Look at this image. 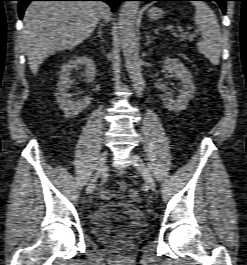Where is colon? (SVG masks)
<instances>
[{"mask_svg":"<svg viewBox=\"0 0 247 265\" xmlns=\"http://www.w3.org/2000/svg\"><path fill=\"white\" fill-rule=\"evenodd\" d=\"M118 188H119V190H120L121 192H125V191H127V189H128V185H127L126 182L121 181V182L119 183V185H118Z\"/></svg>","mask_w":247,"mask_h":265,"instance_id":"colon-1","label":"colon"}]
</instances>
